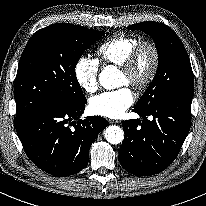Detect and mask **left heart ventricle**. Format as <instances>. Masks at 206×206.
<instances>
[{"label":"left heart ventricle","mask_w":206,"mask_h":206,"mask_svg":"<svg viewBox=\"0 0 206 206\" xmlns=\"http://www.w3.org/2000/svg\"><path fill=\"white\" fill-rule=\"evenodd\" d=\"M151 60H152V56H151V52L149 49L145 48L143 49V51L141 52L136 68H135V72H134V80L135 81H140L142 80L147 73L149 72L150 66H151ZM128 85V78L121 73L120 75V86H125Z\"/></svg>","instance_id":"1"}]
</instances>
